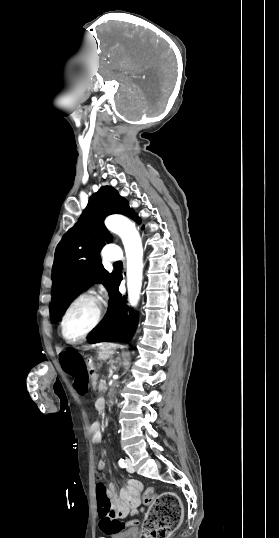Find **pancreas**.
<instances>
[{
  "label": "pancreas",
  "instance_id": "pancreas-1",
  "mask_svg": "<svg viewBox=\"0 0 279 538\" xmlns=\"http://www.w3.org/2000/svg\"><path fill=\"white\" fill-rule=\"evenodd\" d=\"M99 385H100L99 395L101 397H104L106 395V391H107V381H105L104 379H101V380H99Z\"/></svg>",
  "mask_w": 279,
  "mask_h": 538
}]
</instances>
